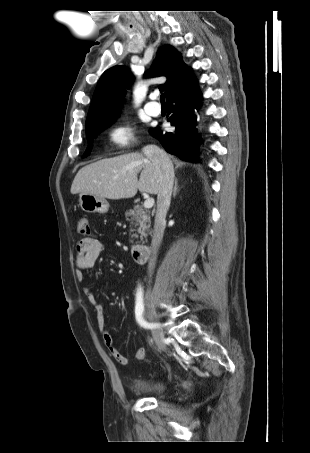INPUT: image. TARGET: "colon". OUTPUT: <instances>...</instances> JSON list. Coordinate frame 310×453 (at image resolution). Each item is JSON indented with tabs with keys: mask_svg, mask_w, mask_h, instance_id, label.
Returning <instances> with one entry per match:
<instances>
[{
	"mask_svg": "<svg viewBox=\"0 0 310 453\" xmlns=\"http://www.w3.org/2000/svg\"><path fill=\"white\" fill-rule=\"evenodd\" d=\"M77 233L79 235H89L90 233V224L89 220L86 217H81L77 223Z\"/></svg>",
	"mask_w": 310,
	"mask_h": 453,
	"instance_id": "1",
	"label": "colon"
}]
</instances>
